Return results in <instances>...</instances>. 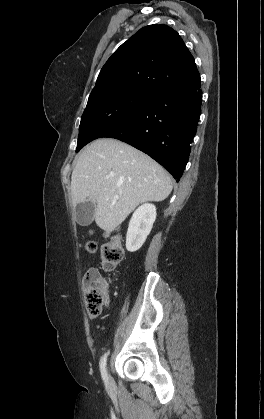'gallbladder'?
Returning a JSON list of instances; mask_svg holds the SVG:
<instances>
[{
	"label": "gallbladder",
	"mask_w": 264,
	"mask_h": 419,
	"mask_svg": "<svg viewBox=\"0 0 264 419\" xmlns=\"http://www.w3.org/2000/svg\"><path fill=\"white\" fill-rule=\"evenodd\" d=\"M77 223L87 226L92 223L95 213V204L92 201L79 203L75 208Z\"/></svg>",
	"instance_id": "gallbladder-1"
}]
</instances>
